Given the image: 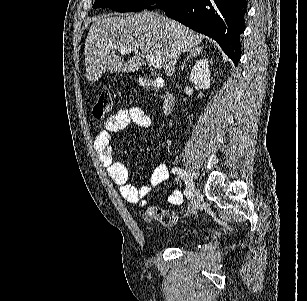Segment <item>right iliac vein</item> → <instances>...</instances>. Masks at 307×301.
Wrapping results in <instances>:
<instances>
[{
	"label": "right iliac vein",
	"mask_w": 307,
	"mask_h": 301,
	"mask_svg": "<svg viewBox=\"0 0 307 301\" xmlns=\"http://www.w3.org/2000/svg\"><path fill=\"white\" fill-rule=\"evenodd\" d=\"M187 187L188 190L192 191V198H191V203L187 212V216H191L195 213L196 209L199 207L200 205V191L195 187L193 180L191 177L187 178Z\"/></svg>",
	"instance_id": "obj_1"
}]
</instances>
